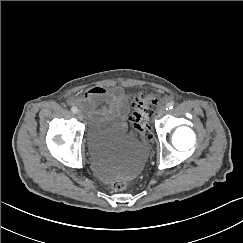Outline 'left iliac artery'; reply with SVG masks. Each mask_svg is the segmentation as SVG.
<instances>
[{
  "mask_svg": "<svg viewBox=\"0 0 243 243\" xmlns=\"http://www.w3.org/2000/svg\"><path fill=\"white\" fill-rule=\"evenodd\" d=\"M174 107V103L173 102H169L167 105H166V110H171L173 109Z\"/></svg>",
  "mask_w": 243,
  "mask_h": 243,
  "instance_id": "obj_1",
  "label": "left iliac artery"
}]
</instances>
